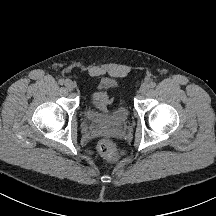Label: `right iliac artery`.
Returning a JSON list of instances; mask_svg holds the SVG:
<instances>
[{"label": "right iliac artery", "mask_w": 216, "mask_h": 216, "mask_svg": "<svg viewBox=\"0 0 216 216\" xmlns=\"http://www.w3.org/2000/svg\"><path fill=\"white\" fill-rule=\"evenodd\" d=\"M58 82H59L60 85H63L65 83L64 79H59Z\"/></svg>", "instance_id": "1"}]
</instances>
